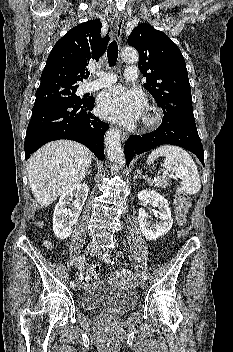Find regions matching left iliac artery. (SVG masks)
Instances as JSON below:
<instances>
[{
	"instance_id": "1",
	"label": "left iliac artery",
	"mask_w": 233,
	"mask_h": 352,
	"mask_svg": "<svg viewBox=\"0 0 233 352\" xmlns=\"http://www.w3.org/2000/svg\"><path fill=\"white\" fill-rule=\"evenodd\" d=\"M102 259L105 262H107V263H109L111 261V259H110V250H107V251L104 252V254L102 256ZM142 279L145 280V281L147 280V275L144 272H142Z\"/></svg>"
}]
</instances>
